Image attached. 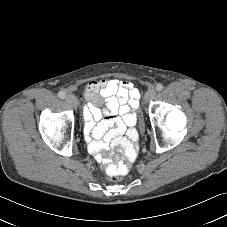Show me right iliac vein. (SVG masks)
<instances>
[{
  "instance_id": "63e3f726",
  "label": "right iliac vein",
  "mask_w": 227,
  "mask_h": 227,
  "mask_svg": "<svg viewBox=\"0 0 227 227\" xmlns=\"http://www.w3.org/2000/svg\"><path fill=\"white\" fill-rule=\"evenodd\" d=\"M66 102L70 104L73 108H77L78 106V100L73 94H68L66 96Z\"/></svg>"
}]
</instances>
